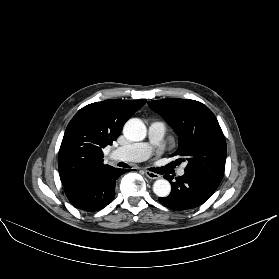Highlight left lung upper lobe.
Listing matches in <instances>:
<instances>
[{"label": "left lung upper lobe", "mask_w": 279, "mask_h": 279, "mask_svg": "<svg viewBox=\"0 0 279 279\" xmlns=\"http://www.w3.org/2000/svg\"><path fill=\"white\" fill-rule=\"evenodd\" d=\"M179 136L171 156L187 161L186 173L200 176L218 187L225 169L226 141L212 111L201 102L163 99L148 102Z\"/></svg>", "instance_id": "5c2ea615"}]
</instances>
